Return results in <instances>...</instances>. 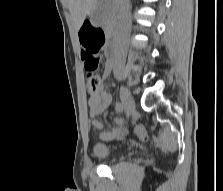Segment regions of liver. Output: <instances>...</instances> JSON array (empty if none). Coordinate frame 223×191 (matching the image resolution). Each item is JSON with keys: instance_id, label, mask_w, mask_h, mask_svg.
I'll return each instance as SVG.
<instances>
[{"instance_id": "6515ba94", "label": "liver", "mask_w": 223, "mask_h": 191, "mask_svg": "<svg viewBox=\"0 0 223 191\" xmlns=\"http://www.w3.org/2000/svg\"><path fill=\"white\" fill-rule=\"evenodd\" d=\"M98 0H68V8L75 26L79 29L87 15L96 7Z\"/></svg>"}]
</instances>
